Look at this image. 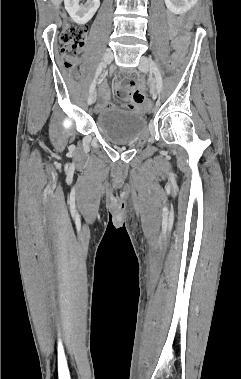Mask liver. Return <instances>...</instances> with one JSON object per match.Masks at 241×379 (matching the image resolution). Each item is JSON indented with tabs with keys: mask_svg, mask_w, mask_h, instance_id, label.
Here are the masks:
<instances>
[{
	"mask_svg": "<svg viewBox=\"0 0 241 379\" xmlns=\"http://www.w3.org/2000/svg\"><path fill=\"white\" fill-rule=\"evenodd\" d=\"M62 2V0H52V3L56 6V7H59L60 3Z\"/></svg>",
	"mask_w": 241,
	"mask_h": 379,
	"instance_id": "liver-1",
	"label": "liver"
}]
</instances>
